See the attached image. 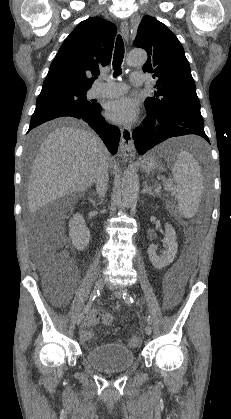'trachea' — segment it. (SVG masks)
<instances>
[{
  "label": "trachea",
  "mask_w": 231,
  "mask_h": 419,
  "mask_svg": "<svg viewBox=\"0 0 231 419\" xmlns=\"http://www.w3.org/2000/svg\"><path fill=\"white\" fill-rule=\"evenodd\" d=\"M124 57V43L121 35L117 36L115 50H114V58H113V69L114 73L113 76L116 77L121 73V64Z\"/></svg>",
  "instance_id": "trachea-1"
}]
</instances>
